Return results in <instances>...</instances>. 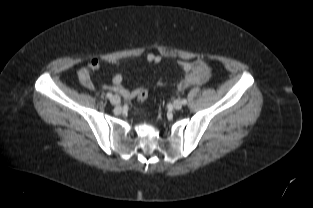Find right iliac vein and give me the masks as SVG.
<instances>
[{
    "label": "right iliac vein",
    "instance_id": "right-iliac-vein-1",
    "mask_svg": "<svg viewBox=\"0 0 313 208\" xmlns=\"http://www.w3.org/2000/svg\"><path fill=\"white\" fill-rule=\"evenodd\" d=\"M110 101L115 106L120 105V102H121L120 97L117 95L113 96Z\"/></svg>",
    "mask_w": 313,
    "mask_h": 208
}]
</instances>
